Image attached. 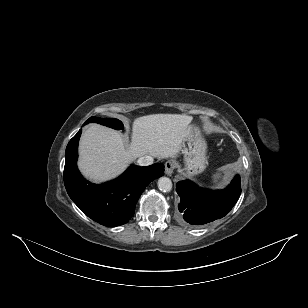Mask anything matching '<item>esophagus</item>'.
Masks as SVG:
<instances>
[{"instance_id":"1","label":"esophagus","mask_w":308,"mask_h":308,"mask_svg":"<svg viewBox=\"0 0 308 308\" xmlns=\"http://www.w3.org/2000/svg\"><path fill=\"white\" fill-rule=\"evenodd\" d=\"M175 169V163L172 160H168L165 163V174L171 176Z\"/></svg>"}]
</instances>
